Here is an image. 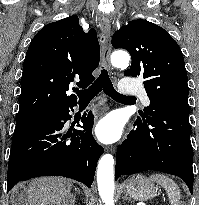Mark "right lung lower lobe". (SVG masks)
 I'll return each instance as SVG.
<instances>
[{
  "label": "right lung lower lobe",
  "mask_w": 199,
  "mask_h": 205,
  "mask_svg": "<svg viewBox=\"0 0 199 205\" xmlns=\"http://www.w3.org/2000/svg\"><path fill=\"white\" fill-rule=\"evenodd\" d=\"M76 104L61 107L55 112V119L13 136L7 191L19 181L47 175L68 177L91 187L104 149L92 136L94 116L90 112L81 118L83 126L80 127L84 130L64 134V124L71 119L69 109L73 110Z\"/></svg>",
  "instance_id": "right-lung-lower-lobe-1"
}]
</instances>
